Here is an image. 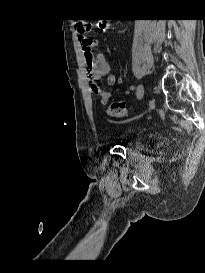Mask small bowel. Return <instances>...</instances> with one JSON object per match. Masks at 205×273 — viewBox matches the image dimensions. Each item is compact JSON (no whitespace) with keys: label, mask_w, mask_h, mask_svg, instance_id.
<instances>
[{"label":"small bowel","mask_w":205,"mask_h":273,"mask_svg":"<svg viewBox=\"0 0 205 273\" xmlns=\"http://www.w3.org/2000/svg\"><path fill=\"white\" fill-rule=\"evenodd\" d=\"M78 42L81 46L85 65L88 69V74L91 80L97 81L102 77L107 78V82L111 86L116 85V78L111 74V66L101 52L95 49L98 41L95 38L80 36ZM103 99L110 96L108 91L100 94Z\"/></svg>","instance_id":"small-bowel-1"}]
</instances>
